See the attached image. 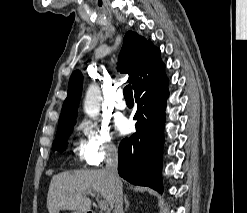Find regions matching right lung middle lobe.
<instances>
[{
	"label": "right lung middle lobe",
	"instance_id": "obj_1",
	"mask_svg": "<svg viewBox=\"0 0 247 213\" xmlns=\"http://www.w3.org/2000/svg\"><path fill=\"white\" fill-rule=\"evenodd\" d=\"M73 126H64L57 129V134L52 145L53 150L62 152L66 149V141L72 132Z\"/></svg>",
	"mask_w": 247,
	"mask_h": 213
}]
</instances>
